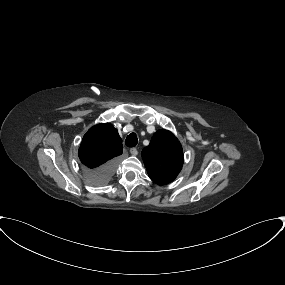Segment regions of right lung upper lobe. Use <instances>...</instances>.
Masks as SVG:
<instances>
[{
    "label": "right lung upper lobe",
    "mask_w": 285,
    "mask_h": 285,
    "mask_svg": "<svg viewBox=\"0 0 285 285\" xmlns=\"http://www.w3.org/2000/svg\"><path fill=\"white\" fill-rule=\"evenodd\" d=\"M122 140L109 123L93 126L84 135L79 158L88 169H96L122 154Z\"/></svg>",
    "instance_id": "obj_1"
}]
</instances>
